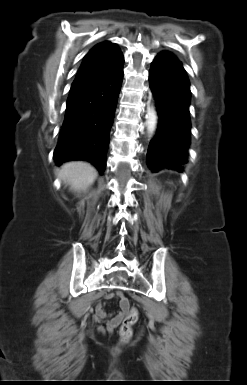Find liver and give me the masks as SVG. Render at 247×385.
I'll return each mask as SVG.
<instances>
[{
  "label": "liver",
  "mask_w": 247,
  "mask_h": 385,
  "mask_svg": "<svg viewBox=\"0 0 247 385\" xmlns=\"http://www.w3.org/2000/svg\"><path fill=\"white\" fill-rule=\"evenodd\" d=\"M59 177L68 183L72 190L80 192L86 190L94 182L97 172L87 162L72 161L62 165Z\"/></svg>",
  "instance_id": "liver-1"
}]
</instances>
